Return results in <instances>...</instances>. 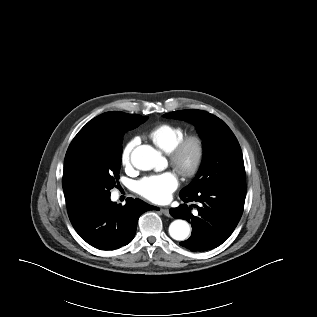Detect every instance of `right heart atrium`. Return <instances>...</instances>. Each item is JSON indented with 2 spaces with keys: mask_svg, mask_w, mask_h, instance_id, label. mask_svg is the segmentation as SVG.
I'll return each instance as SVG.
<instances>
[{
  "mask_svg": "<svg viewBox=\"0 0 317 317\" xmlns=\"http://www.w3.org/2000/svg\"><path fill=\"white\" fill-rule=\"evenodd\" d=\"M137 144L136 138H131L123 147L120 155V161L125 169L131 167V156L132 152Z\"/></svg>",
  "mask_w": 317,
  "mask_h": 317,
  "instance_id": "obj_1",
  "label": "right heart atrium"
}]
</instances>
